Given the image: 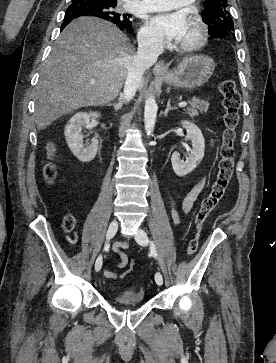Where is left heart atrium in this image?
<instances>
[{
	"label": "left heart atrium",
	"mask_w": 276,
	"mask_h": 363,
	"mask_svg": "<svg viewBox=\"0 0 276 363\" xmlns=\"http://www.w3.org/2000/svg\"><path fill=\"white\" fill-rule=\"evenodd\" d=\"M152 30L168 41H180L188 24V16L184 11L161 12L149 19Z\"/></svg>",
	"instance_id": "39dd6f15"
}]
</instances>
